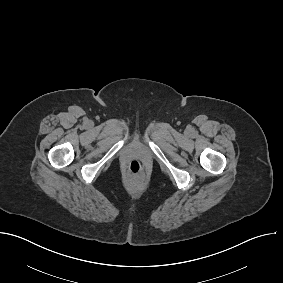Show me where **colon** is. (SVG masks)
I'll use <instances>...</instances> for the list:
<instances>
[{
	"mask_svg": "<svg viewBox=\"0 0 283 283\" xmlns=\"http://www.w3.org/2000/svg\"><path fill=\"white\" fill-rule=\"evenodd\" d=\"M128 171L132 176L140 177L143 175V166L139 161L134 160L130 163Z\"/></svg>",
	"mask_w": 283,
	"mask_h": 283,
	"instance_id": "obj_1",
	"label": "colon"
}]
</instances>
